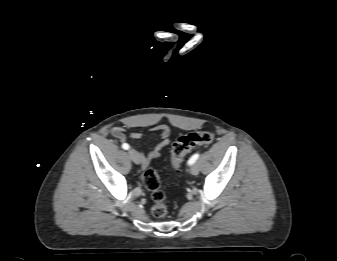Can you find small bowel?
<instances>
[{
  "instance_id": "small-bowel-1",
  "label": "small bowel",
  "mask_w": 337,
  "mask_h": 261,
  "mask_svg": "<svg viewBox=\"0 0 337 261\" xmlns=\"http://www.w3.org/2000/svg\"><path fill=\"white\" fill-rule=\"evenodd\" d=\"M154 130L157 132L160 141L153 146V148L147 153L144 154L142 152L139 153L141 164L143 167L148 166L153 160L160 157L161 151L163 148H165L169 142H170V129L167 125H158L154 128ZM111 134L114 138L119 140L120 142L126 141V135L124 133L123 128L121 127H114L111 130ZM142 137V134L140 132H132L130 134V139L133 141H138Z\"/></svg>"
}]
</instances>
